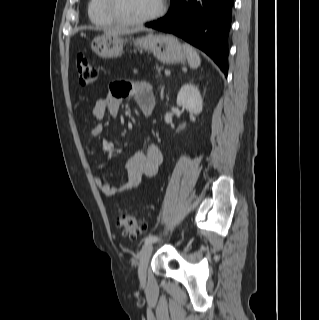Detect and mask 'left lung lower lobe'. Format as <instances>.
Segmentation results:
<instances>
[{
	"mask_svg": "<svg viewBox=\"0 0 319 320\" xmlns=\"http://www.w3.org/2000/svg\"><path fill=\"white\" fill-rule=\"evenodd\" d=\"M167 15L145 26L172 33L203 50L228 71V32L234 0H171Z\"/></svg>",
	"mask_w": 319,
	"mask_h": 320,
	"instance_id": "1",
	"label": "left lung lower lobe"
}]
</instances>
